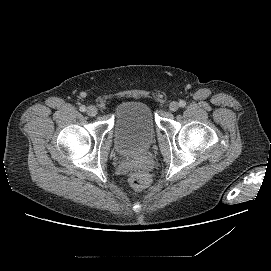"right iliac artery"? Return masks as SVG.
<instances>
[{
    "label": "right iliac artery",
    "mask_w": 271,
    "mask_h": 271,
    "mask_svg": "<svg viewBox=\"0 0 271 271\" xmlns=\"http://www.w3.org/2000/svg\"><path fill=\"white\" fill-rule=\"evenodd\" d=\"M79 110H80L81 112H85V111H86V107H85L84 105H82V106H80Z\"/></svg>",
    "instance_id": "obj_1"
}]
</instances>
